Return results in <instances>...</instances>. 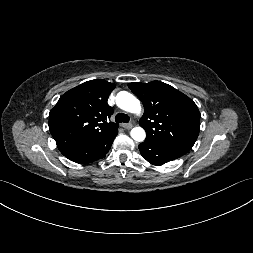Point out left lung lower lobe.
I'll return each mask as SVG.
<instances>
[{
  "label": "left lung lower lobe",
  "instance_id": "1",
  "mask_svg": "<svg viewBox=\"0 0 253 253\" xmlns=\"http://www.w3.org/2000/svg\"><path fill=\"white\" fill-rule=\"evenodd\" d=\"M141 155L151 164L161 166L187 152L181 148L145 140L139 146Z\"/></svg>",
  "mask_w": 253,
  "mask_h": 253
}]
</instances>
